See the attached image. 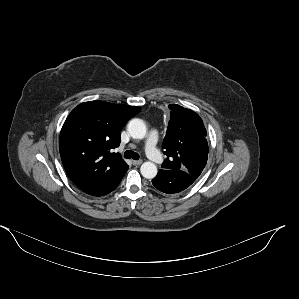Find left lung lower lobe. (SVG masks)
I'll return each instance as SVG.
<instances>
[{
  "instance_id": "1",
  "label": "left lung lower lobe",
  "mask_w": 299,
  "mask_h": 299,
  "mask_svg": "<svg viewBox=\"0 0 299 299\" xmlns=\"http://www.w3.org/2000/svg\"><path fill=\"white\" fill-rule=\"evenodd\" d=\"M194 179L183 170L160 169L152 180L154 187L166 194H174L188 188Z\"/></svg>"
}]
</instances>
